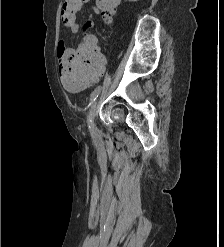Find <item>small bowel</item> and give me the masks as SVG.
Listing matches in <instances>:
<instances>
[{
    "label": "small bowel",
    "instance_id": "1",
    "mask_svg": "<svg viewBox=\"0 0 224 247\" xmlns=\"http://www.w3.org/2000/svg\"><path fill=\"white\" fill-rule=\"evenodd\" d=\"M82 1H83L82 4H84V3H88L90 0H82ZM91 10H92V13L90 17L84 23V28L86 30H89L94 27V18L95 16H98L100 14V10L96 6H92ZM65 28L70 34H73V35L77 34L79 31V26L76 22L66 26ZM85 35L87 36L88 34L86 33ZM70 53H71V50L66 48L64 41H60L58 44V48H57V57H58L59 63L60 64L64 63L67 59V56Z\"/></svg>",
    "mask_w": 224,
    "mask_h": 247
}]
</instances>
